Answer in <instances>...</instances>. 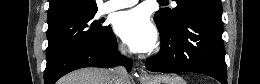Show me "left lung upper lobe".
<instances>
[{"label": "left lung upper lobe", "instance_id": "obj_1", "mask_svg": "<svg viewBox=\"0 0 260 84\" xmlns=\"http://www.w3.org/2000/svg\"><path fill=\"white\" fill-rule=\"evenodd\" d=\"M176 3L173 10L162 8L155 13L156 24L173 27L188 11L222 13L220 0H176Z\"/></svg>", "mask_w": 260, "mask_h": 84}]
</instances>
